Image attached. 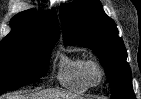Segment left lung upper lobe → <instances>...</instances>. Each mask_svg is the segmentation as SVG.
Returning <instances> with one entry per match:
<instances>
[{
  "mask_svg": "<svg viewBox=\"0 0 141 99\" xmlns=\"http://www.w3.org/2000/svg\"><path fill=\"white\" fill-rule=\"evenodd\" d=\"M64 40L92 49L110 80L113 99H135L127 52L114 21L98 0H75L60 11Z\"/></svg>",
  "mask_w": 141,
  "mask_h": 99,
  "instance_id": "5c2ea615",
  "label": "left lung upper lobe"
}]
</instances>
